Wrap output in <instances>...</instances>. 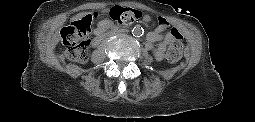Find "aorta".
Returning <instances> with one entry per match:
<instances>
[{
    "instance_id": "1",
    "label": "aorta",
    "mask_w": 255,
    "mask_h": 122,
    "mask_svg": "<svg viewBox=\"0 0 255 122\" xmlns=\"http://www.w3.org/2000/svg\"><path fill=\"white\" fill-rule=\"evenodd\" d=\"M143 33H144V30H143V28L141 26H135L132 29V35L134 37H140V36L143 35Z\"/></svg>"
}]
</instances>
